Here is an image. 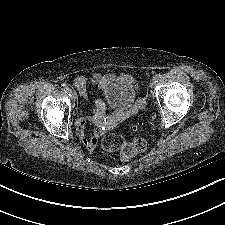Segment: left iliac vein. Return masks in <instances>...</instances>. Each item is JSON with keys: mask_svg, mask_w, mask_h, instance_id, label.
Masks as SVG:
<instances>
[{"mask_svg": "<svg viewBox=\"0 0 225 225\" xmlns=\"http://www.w3.org/2000/svg\"><path fill=\"white\" fill-rule=\"evenodd\" d=\"M157 80L155 78H152L149 82V86L150 88H154V86L156 85Z\"/></svg>", "mask_w": 225, "mask_h": 225, "instance_id": "4c4485c4", "label": "left iliac vein"}]
</instances>
